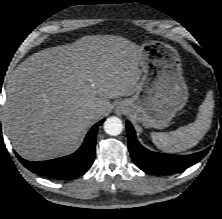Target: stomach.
<instances>
[{
  "label": "stomach",
  "mask_w": 222,
  "mask_h": 219,
  "mask_svg": "<svg viewBox=\"0 0 222 219\" xmlns=\"http://www.w3.org/2000/svg\"><path fill=\"white\" fill-rule=\"evenodd\" d=\"M140 49L143 75L138 88L132 97L120 101L116 109L145 127L162 128L188 100L181 59L174 47L160 41L145 42Z\"/></svg>",
  "instance_id": "0dacf381"
}]
</instances>
